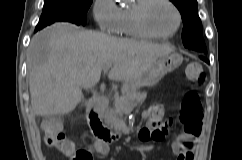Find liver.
Instances as JSON below:
<instances>
[{
  "mask_svg": "<svg viewBox=\"0 0 242 160\" xmlns=\"http://www.w3.org/2000/svg\"><path fill=\"white\" fill-rule=\"evenodd\" d=\"M174 47L120 39L55 23L31 40L27 66L32 110L35 115H64L83 98L82 89L95 86L102 68L111 65L108 78L134 81Z\"/></svg>",
  "mask_w": 242,
  "mask_h": 160,
  "instance_id": "6515ba94",
  "label": "liver"
}]
</instances>
